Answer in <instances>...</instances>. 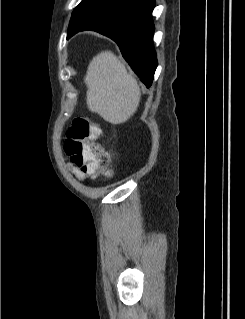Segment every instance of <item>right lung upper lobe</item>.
<instances>
[{
  "label": "right lung upper lobe",
  "instance_id": "cb5924a9",
  "mask_svg": "<svg viewBox=\"0 0 245 319\" xmlns=\"http://www.w3.org/2000/svg\"><path fill=\"white\" fill-rule=\"evenodd\" d=\"M74 22L70 23L68 35L77 32L78 30L86 27L87 25L91 24L92 21H85V14L81 12V3L76 7L72 14L71 18Z\"/></svg>",
  "mask_w": 245,
  "mask_h": 319
}]
</instances>
